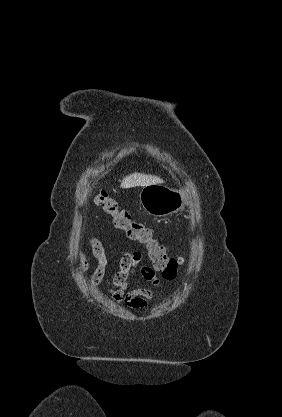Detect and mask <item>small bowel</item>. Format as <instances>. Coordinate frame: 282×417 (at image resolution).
Instances as JSON below:
<instances>
[{"instance_id":"c3829d8e","label":"small bowel","mask_w":282,"mask_h":417,"mask_svg":"<svg viewBox=\"0 0 282 417\" xmlns=\"http://www.w3.org/2000/svg\"><path fill=\"white\" fill-rule=\"evenodd\" d=\"M89 242L92 255L97 261V267L91 276V286L96 288L106 274L108 258L104 246L99 239L90 237ZM77 255L81 271L87 272L90 267L88 257L82 251H78ZM140 261V253H125L120 259L119 270L113 278V288L111 289L112 299L115 303L124 304L128 308L135 310L143 309L147 306V302L155 296L156 290L161 283L160 279L156 276L155 270L150 266L140 265ZM137 270L145 280L152 284L153 289H128L129 280Z\"/></svg>"}]
</instances>
